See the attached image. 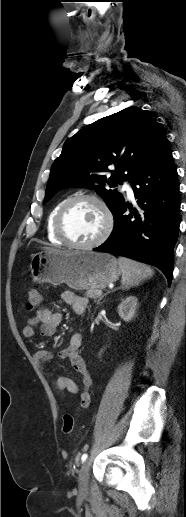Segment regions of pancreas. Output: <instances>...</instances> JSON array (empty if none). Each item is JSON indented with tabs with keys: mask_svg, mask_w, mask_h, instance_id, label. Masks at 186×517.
I'll list each match as a JSON object with an SVG mask.
<instances>
[{
	"mask_svg": "<svg viewBox=\"0 0 186 517\" xmlns=\"http://www.w3.org/2000/svg\"><path fill=\"white\" fill-rule=\"evenodd\" d=\"M97 291H98V289H88L84 295L87 298H92L94 300H96L98 298L100 299L101 297L99 295H97Z\"/></svg>",
	"mask_w": 186,
	"mask_h": 517,
	"instance_id": "cf45deb5",
	"label": "pancreas"
}]
</instances>
